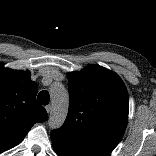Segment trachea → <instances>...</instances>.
Returning <instances> with one entry per match:
<instances>
[{"label":"trachea","mask_w":156,"mask_h":156,"mask_svg":"<svg viewBox=\"0 0 156 156\" xmlns=\"http://www.w3.org/2000/svg\"><path fill=\"white\" fill-rule=\"evenodd\" d=\"M38 101L42 104V105H47L50 101V96L48 91L43 90L38 94L37 97Z\"/></svg>","instance_id":"3493384b"}]
</instances>
